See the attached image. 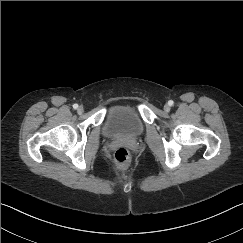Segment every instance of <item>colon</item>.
Masks as SVG:
<instances>
[{
  "mask_svg": "<svg viewBox=\"0 0 243 243\" xmlns=\"http://www.w3.org/2000/svg\"><path fill=\"white\" fill-rule=\"evenodd\" d=\"M115 165L122 170L128 169L131 164V156L125 147H119L113 156Z\"/></svg>",
  "mask_w": 243,
  "mask_h": 243,
  "instance_id": "5ec220e1",
  "label": "colon"
}]
</instances>
